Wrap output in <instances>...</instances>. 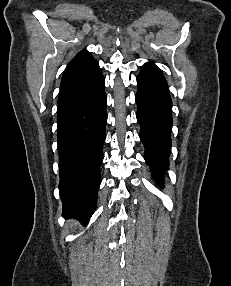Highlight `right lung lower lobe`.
I'll return each mask as SVG.
<instances>
[{
    "label": "right lung lower lobe",
    "mask_w": 231,
    "mask_h": 286,
    "mask_svg": "<svg viewBox=\"0 0 231 286\" xmlns=\"http://www.w3.org/2000/svg\"><path fill=\"white\" fill-rule=\"evenodd\" d=\"M105 80L101 70L61 82L58 98L59 192L63 214L87 224L101 183L100 164L107 121Z\"/></svg>",
    "instance_id": "right-lung-lower-lobe-1"
}]
</instances>
